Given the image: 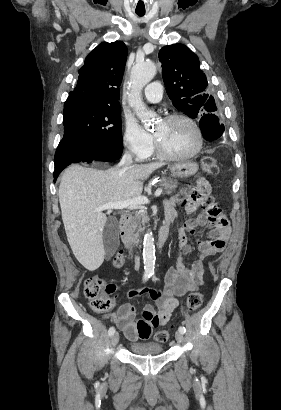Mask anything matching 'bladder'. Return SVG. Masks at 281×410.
I'll return each mask as SVG.
<instances>
[{"mask_svg": "<svg viewBox=\"0 0 281 410\" xmlns=\"http://www.w3.org/2000/svg\"><path fill=\"white\" fill-rule=\"evenodd\" d=\"M129 349L131 353L140 356L158 355L164 351L162 345L154 342L132 343Z\"/></svg>", "mask_w": 281, "mask_h": 410, "instance_id": "31cf9c89", "label": "bladder"}]
</instances>
